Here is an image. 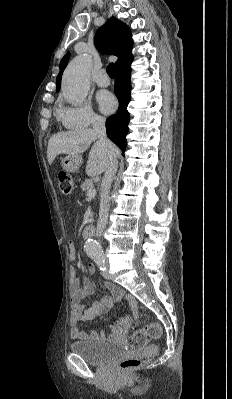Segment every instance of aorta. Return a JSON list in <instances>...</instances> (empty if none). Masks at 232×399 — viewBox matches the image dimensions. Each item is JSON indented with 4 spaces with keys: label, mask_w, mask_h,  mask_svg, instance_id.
I'll list each match as a JSON object with an SVG mask.
<instances>
[{
    "label": "aorta",
    "mask_w": 232,
    "mask_h": 399,
    "mask_svg": "<svg viewBox=\"0 0 232 399\" xmlns=\"http://www.w3.org/2000/svg\"><path fill=\"white\" fill-rule=\"evenodd\" d=\"M91 67L92 61L85 54L74 58L65 69L61 89L64 99L70 104L80 105L86 99L90 89ZM84 251L91 257L102 254V248L96 240H88Z\"/></svg>",
    "instance_id": "1"
}]
</instances>
